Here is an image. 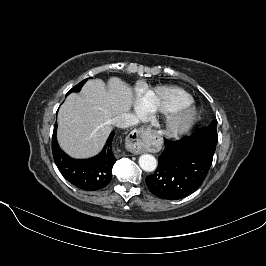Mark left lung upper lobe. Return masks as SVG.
Here are the masks:
<instances>
[{
    "label": "left lung upper lobe",
    "instance_id": "obj_1",
    "mask_svg": "<svg viewBox=\"0 0 266 266\" xmlns=\"http://www.w3.org/2000/svg\"><path fill=\"white\" fill-rule=\"evenodd\" d=\"M217 120H213L208 127L198 129L193 134V141L213 157L218 142Z\"/></svg>",
    "mask_w": 266,
    "mask_h": 266
}]
</instances>
